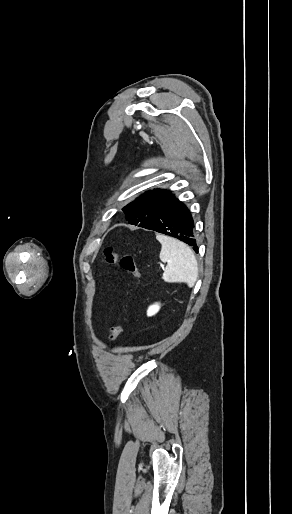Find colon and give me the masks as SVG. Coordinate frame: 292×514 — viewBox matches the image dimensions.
Instances as JSON below:
<instances>
[{"mask_svg":"<svg viewBox=\"0 0 292 514\" xmlns=\"http://www.w3.org/2000/svg\"><path fill=\"white\" fill-rule=\"evenodd\" d=\"M103 257L109 265L118 264L122 270L132 275H138L139 268L132 254H123L115 250L114 247H106L103 249ZM124 331L123 324L112 325L107 329V340L115 341Z\"/></svg>","mask_w":292,"mask_h":514,"instance_id":"1","label":"colon"}]
</instances>
